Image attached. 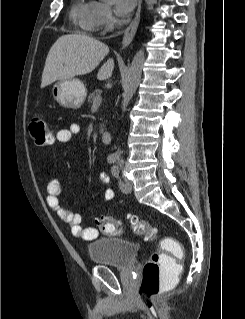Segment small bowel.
Returning <instances> with one entry per match:
<instances>
[{"label":"small bowel","mask_w":245,"mask_h":319,"mask_svg":"<svg viewBox=\"0 0 245 319\" xmlns=\"http://www.w3.org/2000/svg\"><path fill=\"white\" fill-rule=\"evenodd\" d=\"M80 133L81 127L78 124H71L68 128L60 129L56 134V139L59 143H68L74 136ZM99 180L104 187L103 200L106 202L112 201L115 197V193L109 187L110 180L108 175L104 172L100 173ZM62 192V183L58 179H51L47 185L46 201L48 206L55 211L61 221L69 225L74 236L81 237L88 241L97 238L98 230L95 227L82 228V216L61 203L60 196Z\"/></svg>","instance_id":"1"}]
</instances>
